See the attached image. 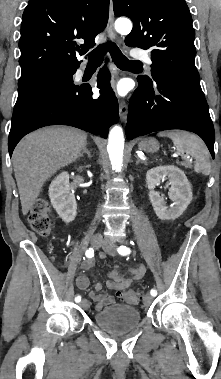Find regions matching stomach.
<instances>
[{
    "label": "stomach",
    "mask_w": 221,
    "mask_h": 379,
    "mask_svg": "<svg viewBox=\"0 0 221 379\" xmlns=\"http://www.w3.org/2000/svg\"><path fill=\"white\" fill-rule=\"evenodd\" d=\"M139 148L147 152H156L159 149L158 142L153 138L144 139L139 143Z\"/></svg>",
    "instance_id": "obj_1"
}]
</instances>
